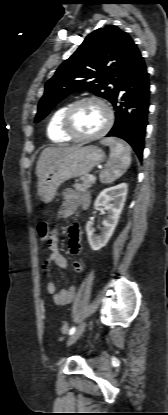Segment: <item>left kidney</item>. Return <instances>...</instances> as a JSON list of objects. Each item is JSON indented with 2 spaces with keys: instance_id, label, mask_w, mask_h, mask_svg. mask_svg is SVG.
<instances>
[{
  "instance_id": "left-kidney-1",
  "label": "left kidney",
  "mask_w": 168,
  "mask_h": 415,
  "mask_svg": "<svg viewBox=\"0 0 168 415\" xmlns=\"http://www.w3.org/2000/svg\"><path fill=\"white\" fill-rule=\"evenodd\" d=\"M128 186L126 183L104 189L96 198L94 208L103 206L107 210V217L103 221L102 233L96 235L94 233V223L87 222L86 232L88 242L92 250L97 251L103 248L110 240L124 207Z\"/></svg>"
}]
</instances>
